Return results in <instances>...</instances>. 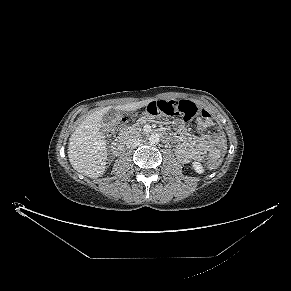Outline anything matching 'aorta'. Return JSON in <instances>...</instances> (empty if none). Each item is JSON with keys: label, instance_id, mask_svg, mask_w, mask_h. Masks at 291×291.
Wrapping results in <instances>:
<instances>
[{"label": "aorta", "instance_id": "762f6f07", "mask_svg": "<svg viewBox=\"0 0 291 291\" xmlns=\"http://www.w3.org/2000/svg\"><path fill=\"white\" fill-rule=\"evenodd\" d=\"M159 141H160V136L158 134H151L149 136V142L151 144H155L156 145V144L159 143Z\"/></svg>", "mask_w": 291, "mask_h": 291}]
</instances>
